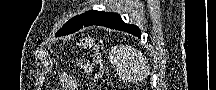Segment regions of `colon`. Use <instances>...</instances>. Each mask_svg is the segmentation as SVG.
<instances>
[{"instance_id": "obj_1", "label": "colon", "mask_w": 216, "mask_h": 90, "mask_svg": "<svg viewBox=\"0 0 216 90\" xmlns=\"http://www.w3.org/2000/svg\"><path fill=\"white\" fill-rule=\"evenodd\" d=\"M79 45L81 46V47H83V48H86L87 46V44H86V41H80L79 42ZM92 57H93V60H94V62H95V64H96V66H97V73H96V79L97 80H101L103 77H104V69H103V66H102V63H101V57H100V54L97 52V51H95V50H93V52H92Z\"/></svg>"}]
</instances>
